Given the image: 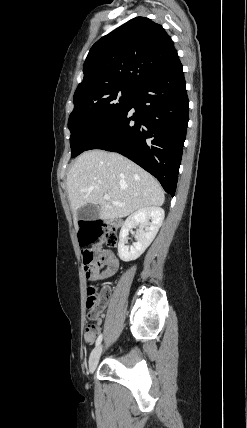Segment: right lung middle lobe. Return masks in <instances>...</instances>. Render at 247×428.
<instances>
[{"label":"right lung middle lobe","mask_w":247,"mask_h":428,"mask_svg":"<svg viewBox=\"0 0 247 428\" xmlns=\"http://www.w3.org/2000/svg\"><path fill=\"white\" fill-rule=\"evenodd\" d=\"M136 89L116 86L81 94L69 116L71 157L87 148L123 113Z\"/></svg>","instance_id":"dd1d6c3e"}]
</instances>
